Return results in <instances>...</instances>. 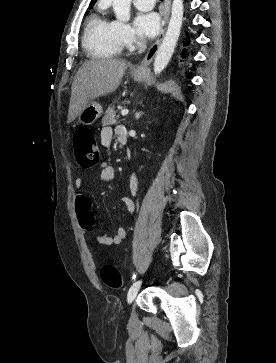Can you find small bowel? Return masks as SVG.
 Masks as SVG:
<instances>
[{
	"mask_svg": "<svg viewBox=\"0 0 276 363\" xmlns=\"http://www.w3.org/2000/svg\"><path fill=\"white\" fill-rule=\"evenodd\" d=\"M125 133V129L121 126L113 129L110 126H106L101 130L100 139L101 143L104 147H109L113 138L116 137L118 139L119 133ZM100 171V179L103 182H111L115 178V169L111 165H108L105 162H102L99 167ZM76 188L81 190L84 187V177L80 176L75 180ZM139 188V180L138 176L135 173H132L130 176V191L133 197H135L138 193ZM121 202L126 207L127 211L131 214L135 212L136 204L132 197L122 196ZM91 201L90 199L83 193H77L75 196V207L77 212L83 214V220L90 222L91 226L85 229L87 232H92L94 228V218L93 213L90 210ZM127 232L124 227H118L116 234L114 236H107L101 234H95L94 238L98 244L101 245H118L121 244L126 238Z\"/></svg>",
	"mask_w": 276,
	"mask_h": 363,
	"instance_id": "1",
	"label": "small bowel"
}]
</instances>
